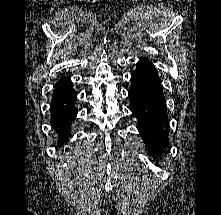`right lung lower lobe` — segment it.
<instances>
[{"instance_id":"98d812e1","label":"right lung lower lobe","mask_w":221,"mask_h":215,"mask_svg":"<svg viewBox=\"0 0 221 215\" xmlns=\"http://www.w3.org/2000/svg\"><path fill=\"white\" fill-rule=\"evenodd\" d=\"M77 95L72 90V82L69 78H62L55 84V94L51 102L53 126L60 133L61 139H67L68 129L77 110L73 106Z\"/></svg>"}]
</instances>
